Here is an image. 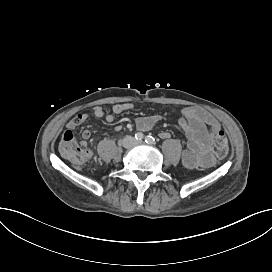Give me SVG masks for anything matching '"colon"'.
Instances as JSON below:
<instances>
[{
	"label": "colon",
	"instance_id": "obj_1",
	"mask_svg": "<svg viewBox=\"0 0 272 272\" xmlns=\"http://www.w3.org/2000/svg\"><path fill=\"white\" fill-rule=\"evenodd\" d=\"M210 132L213 134L210 140L213 155L217 158H224L228 150L225 132L216 127H211ZM61 137L59 148L61 158L64 161L73 163L77 167L86 166L90 160L87 153L88 148L84 142L78 141L77 131L71 127L65 128L62 131Z\"/></svg>",
	"mask_w": 272,
	"mask_h": 272
}]
</instances>
